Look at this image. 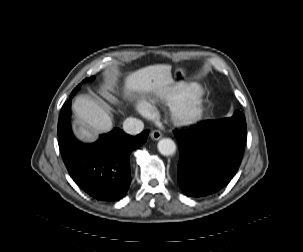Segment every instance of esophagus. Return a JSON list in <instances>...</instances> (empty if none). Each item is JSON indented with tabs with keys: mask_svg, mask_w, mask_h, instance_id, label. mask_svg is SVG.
Here are the masks:
<instances>
[{
	"mask_svg": "<svg viewBox=\"0 0 303 252\" xmlns=\"http://www.w3.org/2000/svg\"><path fill=\"white\" fill-rule=\"evenodd\" d=\"M150 137L153 140H159L162 137V133L159 130H153L150 133Z\"/></svg>",
	"mask_w": 303,
	"mask_h": 252,
	"instance_id": "obj_1",
	"label": "esophagus"
}]
</instances>
